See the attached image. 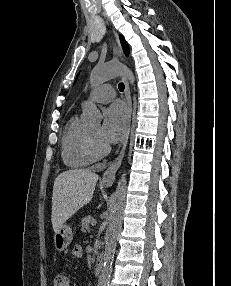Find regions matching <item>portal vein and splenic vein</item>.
Returning <instances> with one entry per match:
<instances>
[{
	"label": "portal vein and splenic vein",
	"instance_id": "obj_1",
	"mask_svg": "<svg viewBox=\"0 0 231 286\" xmlns=\"http://www.w3.org/2000/svg\"><path fill=\"white\" fill-rule=\"evenodd\" d=\"M96 223H97L96 220H95V219H92L91 225L94 226V225H96Z\"/></svg>",
	"mask_w": 231,
	"mask_h": 286
}]
</instances>
